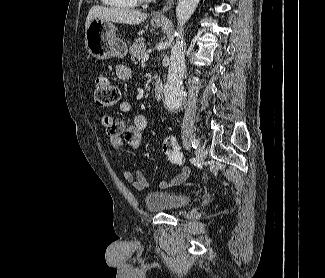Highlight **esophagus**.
I'll return each mask as SVG.
<instances>
[{"mask_svg":"<svg viewBox=\"0 0 325 278\" xmlns=\"http://www.w3.org/2000/svg\"><path fill=\"white\" fill-rule=\"evenodd\" d=\"M175 3V0H167L161 10L157 11L153 15L155 21H164L166 19V13L170 11Z\"/></svg>","mask_w":325,"mask_h":278,"instance_id":"esophagus-1","label":"esophagus"}]
</instances>
